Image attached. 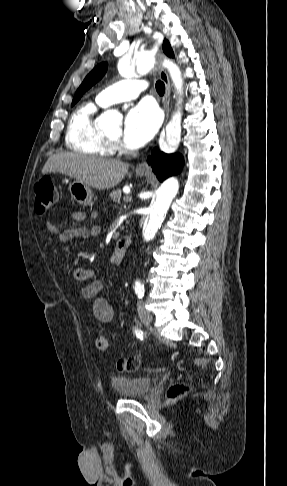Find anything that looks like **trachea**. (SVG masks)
I'll return each instance as SVG.
<instances>
[{"label": "trachea", "instance_id": "obj_1", "mask_svg": "<svg viewBox=\"0 0 287 486\" xmlns=\"http://www.w3.org/2000/svg\"><path fill=\"white\" fill-rule=\"evenodd\" d=\"M156 91L158 92L159 95H163L165 92V85L162 81H157L156 82Z\"/></svg>", "mask_w": 287, "mask_h": 486}]
</instances>
